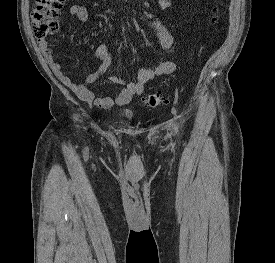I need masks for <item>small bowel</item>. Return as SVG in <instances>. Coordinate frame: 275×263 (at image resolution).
I'll return each instance as SVG.
<instances>
[{"label": "small bowel", "instance_id": "1", "mask_svg": "<svg viewBox=\"0 0 275 263\" xmlns=\"http://www.w3.org/2000/svg\"><path fill=\"white\" fill-rule=\"evenodd\" d=\"M162 9L172 4L171 0H158ZM99 2L92 0L85 3L74 4L69 7V14L75 17L81 23L89 20V8L98 7ZM148 27L153 30L157 36L162 49L166 52L170 51L174 44L172 34L163 26L161 21L156 17H151L147 23ZM39 49L55 76L69 89H71L80 99L93 102L97 107L108 109L115 105H127L133 96L141 95L144 92L145 85L157 77L168 76L176 71V63L172 60H164L154 68H141L138 71V78L135 82H126L116 75H111L107 81L111 84L123 86L121 92L116 98L111 97H95L93 92L84 84L74 83L67 72L63 69L59 62L56 61L51 48L46 40L39 42ZM96 56L101 61L98 70L86 77V83L92 84L100 80L103 75L113 67V58L105 43L97 45L95 50Z\"/></svg>", "mask_w": 275, "mask_h": 263}]
</instances>
